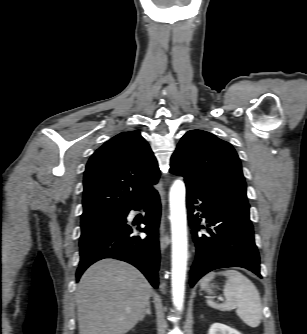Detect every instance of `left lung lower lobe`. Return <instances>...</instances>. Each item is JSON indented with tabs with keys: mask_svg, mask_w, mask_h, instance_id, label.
I'll return each instance as SVG.
<instances>
[{
	"mask_svg": "<svg viewBox=\"0 0 307 334\" xmlns=\"http://www.w3.org/2000/svg\"><path fill=\"white\" fill-rule=\"evenodd\" d=\"M186 188L188 219L194 230L196 247V258L190 273L191 287L206 273L218 268L242 267L262 278L249 218L250 205L191 185H186ZM195 209L201 211L200 217L208 223L204 233L198 232L204 227L199 226L201 219L198 215H193Z\"/></svg>",
	"mask_w": 307,
	"mask_h": 334,
	"instance_id": "1",
	"label": "left lung lower lobe"
}]
</instances>
